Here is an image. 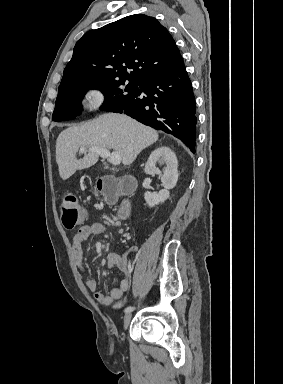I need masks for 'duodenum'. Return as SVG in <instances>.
Segmentation results:
<instances>
[{
  "instance_id": "duodenum-1",
  "label": "duodenum",
  "mask_w": 283,
  "mask_h": 384,
  "mask_svg": "<svg viewBox=\"0 0 283 384\" xmlns=\"http://www.w3.org/2000/svg\"><path fill=\"white\" fill-rule=\"evenodd\" d=\"M109 181V179L106 180V183ZM128 213H129V206H128V203L125 202L123 203L122 205H120L118 208H117V215L119 218L121 219H126L127 216H128Z\"/></svg>"
}]
</instances>
